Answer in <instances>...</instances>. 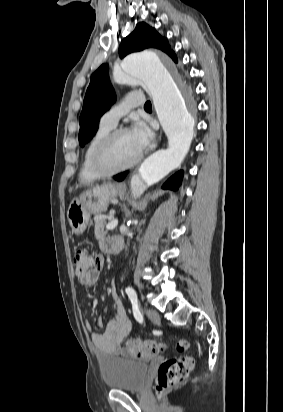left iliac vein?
<instances>
[{"instance_id":"left-iliac-vein-1","label":"left iliac vein","mask_w":283,"mask_h":412,"mask_svg":"<svg viewBox=\"0 0 283 412\" xmlns=\"http://www.w3.org/2000/svg\"><path fill=\"white\" fill-rule=\"evenodd\" d=\"M146 314L148 318L153 321L154 323L160 322V315L155 309H147Z\"/></svg>"}]
</instances>
